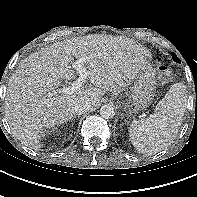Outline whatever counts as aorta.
Listing matches in <instances>:
<instances>
[{
	"mask_svg": "<svg viewBox=\"0 0 197 197\" xmlns=\"http://www.w3.org/2000/svg\"><path fill=\"white\" fill-rule=\"evenodd\" d=\"M100 115L104 119H111L115 115L114 108L111 105H103L100 109Z\"/></svg>",
	"mask_w": 197,
	"mask_h": 197,
	"instance_id": "obj_1",
	"label": "aorta"
}]
</instances>
